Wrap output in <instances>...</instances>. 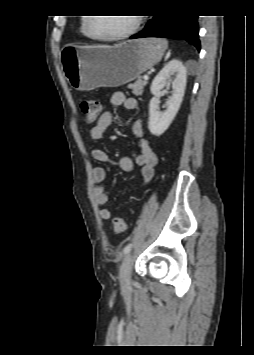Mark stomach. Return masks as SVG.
I'll return each instance as SVG.
<instances>
[{
    "mask_svg": "<svg viewBox=\"0 0 254 355\" xmlns=\"http://www.w3.org/2000/svg\"><path fill=\"white\" fill-rule=\"evenodd\" d=\"M167 42L160 38L130 40L119 45L70 46L60 53L64 75L80 91L126 84L155 66L163 57Z\"/></svg>",
    "mask_w": 254,
    "mask_h": 355,
    "instance_id": "1",
    "label": "stomach"
}]
</instances>
